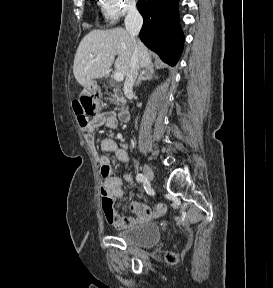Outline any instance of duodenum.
Returning a JSON list of instances; mask_svg holds the SVG:
<instances>
[{"label":"duodenum","mask_w":273,"mask_h":288,"mask_svg":"<svg viewBox=\"0 0 273 288\" xmlns=\"http://www.w3.org/2000/svg\"><path fill=\"white\" fill-rule=\"evenodd\" d=\"M119 121L122 123H127L130 120V113L127 109L122 108L118 111Z\"/></svg>","instance_id":"1"}]
</instances>
